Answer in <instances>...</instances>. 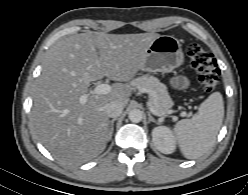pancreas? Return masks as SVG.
<instances>
[{"label":"pancreas","mask_w":248,"mask_h":195,"mask_svg":"<svg viewBox=\"0 0 248 195\" xmlns=\"http://www.w3.org/2000/svg\"><path fill=\"white\" fill-rule=\"evenodd\" d=\"M131 84L149 94V105H151L158 116L165 117L168 115L170 108L173 106V101L168 94L166 86L159 79L154 76L143 75L134 79Z\"/></svg>","instance_id":"pancreas-1"}]
</instances>
